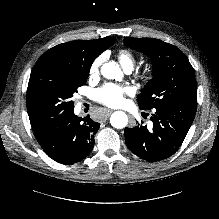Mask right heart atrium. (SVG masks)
I'll return each mask as SVG.
<instances>
[{"instance_id": "obj_1", "label": "right heart atrium", "mask_w": 219, "mask_h": 219, "mask_svg": "<svg viewBox=\"0 0 219 219\" xmlns=\"http://www.w3.org/2000/svg\"><path fill=\"white\" fill-rule=\"evenodd\" d=\"M101 62H102V58L99 57L92 63V65L90 67V74L91 75L97 74L99 72Z\"/></svg>"}]
</instances>
